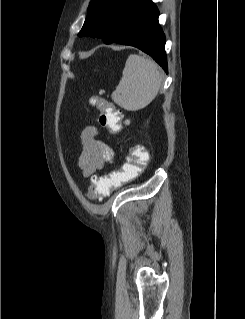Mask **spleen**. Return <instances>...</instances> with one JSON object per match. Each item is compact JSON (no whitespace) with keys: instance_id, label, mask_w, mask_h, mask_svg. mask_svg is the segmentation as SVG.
Returning <instances> with one entry per match:
<instances>
[{"instance_id":"1","label":"spleen","mask_w":245,"mask_h":319,"mask_svg":"<svg viewBox=\"0 0 245 319\" xmlns=\"http://www.w3.org/2000/svg\"><path fill=\"white\" fill-rule=\"evenodd\" d=\"M162 83L158 65L145 56L129 55L111 97L127 111H137L149 105L159 92Z\"/></svg>"}]
</instances>
